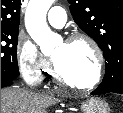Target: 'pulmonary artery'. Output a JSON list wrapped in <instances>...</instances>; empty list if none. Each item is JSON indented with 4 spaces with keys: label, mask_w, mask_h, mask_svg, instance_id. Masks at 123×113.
<instances>
[{
    "label": "pulmonary artery",
    "mask_w": 123,
    "mask_h": 113,
    "mask_svg": "<svg viewBox=\"0 0 123 113\" xmlns=\"http://www.w3.org/2000/svg\"><path fill=\"white\" fill-rule=\"evenodd\" d=\"M47 20L52 26L60 28L65 25L67 15L62 7L54 6L49 9Z\"/></svg>",
    "instance_id": "pulmonary-artery-1"
}]
</instances>
